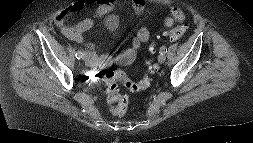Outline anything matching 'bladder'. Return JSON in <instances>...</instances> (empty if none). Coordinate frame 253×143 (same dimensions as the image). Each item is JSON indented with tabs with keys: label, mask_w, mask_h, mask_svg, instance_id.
<instances>
[{
	"label": "bladder",
	"mask_w": 253,
	"mask_h": 143,
	"mask_svg": "<svg viewBox=\"0 0 253 143\" xmlns=\"http://www.w3.org/2000/svg\"><path fill=\"white\" fill-rule=\"evenodd\" d=\"M119 25V20L115 15L106 17L104 26L107 33L112 34L116 31Z\"/></svg>",
	"instance_id": "obj_1"
}]
</instances>
